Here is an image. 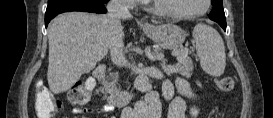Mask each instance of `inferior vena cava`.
I'll return each mask as SVG.
<instances>
[{
	"mask_svg": "<svg viewBox=\"0 0 273 118\" xmlns=\"http://www.w3.org/2000/svg\"><path fill=\"white\" fill-rule=\"evenodd\" d=\"M108 17L113 21L115 39L110 47L112 62L119 66H125L127 61L123 54L122 26L120 19L130 16L129 10L122 4L121 0H111L108 5Z\"/></svg>",
	"mask_w": 273,
	"mask_h": 118,
	"instance_id": "obj_1",
	"label": "inferior vena cava"
}]
</instances>
